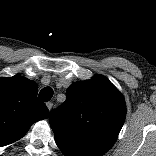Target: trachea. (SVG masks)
Here are the masks:
<instances>
[{
    "label": "trachea",
    "instance_id": "3493384b",
    "mask_svg": "<svg viewBox=\"0 0 156 156\" xmlns=\"http://www.w3.org/2000/svg\"><path fill=\"white\" fill-rule=\"evenodd\" d=\"M38 96L42 101L48 102L53 96V89L51 87H45L39 92Z\"/></svg>",
    "mask_w": 156,
    "mask_h": 156
}]
</instances>
